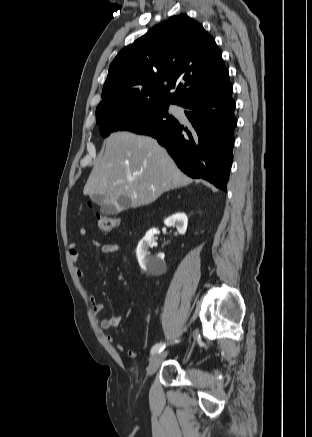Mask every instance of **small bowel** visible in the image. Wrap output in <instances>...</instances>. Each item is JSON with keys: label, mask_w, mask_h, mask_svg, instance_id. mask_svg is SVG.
Here are the masks:
<instances>
[{"label": "small bowel", "mask_w": 312, "mask_h": 437, "mask_svg": "<svg viewBox=\"0 0 312 437\" xmlns=\"http://www.w3.org/2000/svg\"><path fill=\"white\" fill-rule=\"evenodd\" d=\"M78 235L80 237H83L86 235V230L85 229H80L78 231ZM94 245L95 246H99L101 248V252L105 255L108 254H112V253H116L118 251H120V245L117 243H101L100 241H94ZM69 256L70 259L75 267V271L78 277L80 278H84V273L83 271L78 267V261H79V251L77 249V245L75 242H71L69 243ZM89 300L93 306V312L95 314H100L103 310H104V304L102 302H99L97 300V297L94 293H91L89 295ZM131 309H129L126 314L124 315H119V316H111V317H105L100 321V328L104 331L111 329L112 327H117L119 326L123 320L125 319V317H127L130 313ZM106 341L109 344H113L115 342V338L113 335L111 334H107L105 336ZM116 349L121 351V352H125L127 354L128 357L133 358L136 356V351L134 349H126L125 346L121 343L116 344Z\"/></svg>", "instance_id": "1"}]
</instances>
